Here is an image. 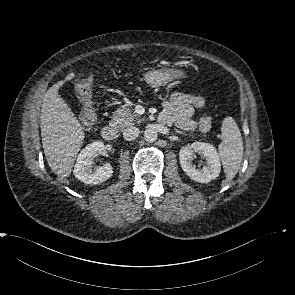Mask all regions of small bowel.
<instances>
[{
	"label": "small bowel",
	"instance_id": "1",
	"mask_svg": "<svg viewBox=\"0 0 295 295\" xmlns=\"http://www.w3.org/2000/svg\"><path fill=\"white\" fill-rule=\"evenodd\" d=\"M203 105L204 99L200 96L173 93L163 103L160 121L163 123H175L181 128L188 129L194 124L191 119L194 108H199Z\"/></svg>",
	"mask_w": 295,
	"mask_h": 295
}]
</instances>
